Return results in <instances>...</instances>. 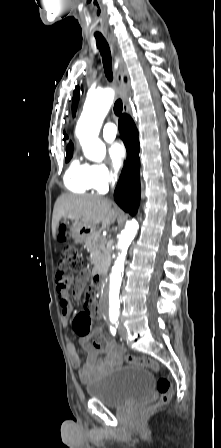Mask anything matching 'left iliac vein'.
<instances>
[{
	"mask_svg": "<svg viewBox=\"0 0 221 448\" xmlns=\"http://www.w3.org/2000/svg\"><path fill=\"white\" fill-rule=\"evenodd\" d=\"M119 334L122 339H124V340L127 339V332L122 323H119Z\"/></svg>",
	"mask_w": 221,
	"mask_h": 448,
	"instance_id": "left-iliac-vein-1",
	"label": "left iliac vein"
}]
</instances>
